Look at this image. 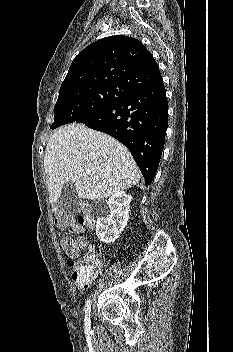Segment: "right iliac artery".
Instances as JSON below:
<instances>
[{
	"label": "right iliac artery",
	"mask_w": 233,
	"mask_h": 352,
	"mask_svg": "<svg viewBox=\"0 0 233 352\" xmlns=\"http://www.w3.org/2000/svg\"><path fill=\"white\" fill-rule=\"evenodd\" d=\"M90 312H91V300L88 299L85 304V329L90 330Z\"/></svg>",
	"instance_id": "right-iliac-artery-1"
}]
</instances>
